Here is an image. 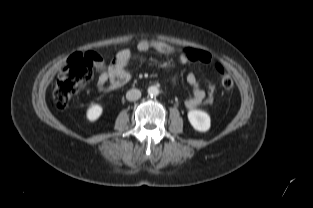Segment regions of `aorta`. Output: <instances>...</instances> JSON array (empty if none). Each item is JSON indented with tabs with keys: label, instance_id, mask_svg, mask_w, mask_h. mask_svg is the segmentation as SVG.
Instances as JSON below:
<instances>
[{
	"label": "aorta",
	"instance_id": "aorta-1",
	"mask_svg": "<svg viewBox=\"0 0 313 208\" xmlns=\"http://www.w3.org/2000/svg\"><path fill=\"white\" fill-rule=\"evenodd\" d=\"M148 94L152 97H156L159 94V89L157 86H150L148 88Z\"/></svg>",
	"mask_w": 313,
	"mask_h": 208
}]
</instances>
